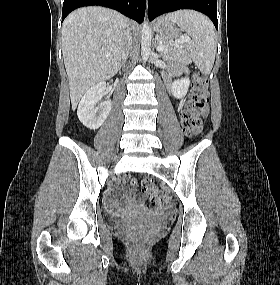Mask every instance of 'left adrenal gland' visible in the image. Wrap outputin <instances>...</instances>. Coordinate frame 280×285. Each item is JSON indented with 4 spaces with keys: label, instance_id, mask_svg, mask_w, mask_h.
<instances>
[{
    "label": "left adrenal gland",
    "instance_id": "left-adrenal-gland-1",
    "mask_svg": "<svg viewBox=\"0 0 280 285\" xmlns=\"http://www.w3.org/2000/svg\"><path fill=\"white\" fill-rule=\"evenodd\" d=\"M154 47H155V48L157 47V42H156V40L154 41Z\"/></svg>",
    "mask_w": 280,
    "mask_h": 285
}]
</instances>
